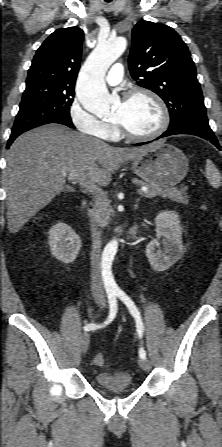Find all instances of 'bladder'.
Returning <instances> with one entry per match:
<instances>
[{"label":"bladder","instance_id":"obj_1","mask_svg":"<svg viewBox=\"0 0 222 447\" xmlns=\"http://www.w3.org/2000/svg\"><path fill=\"white\" fill-rule=\"evenodd\" d=\"M96 383L105 391L119 392L131 389L132 376L128 371L100 372L95 375Z\"/></svg>","mask_w":222,"mask_h":447}]
</instances>
